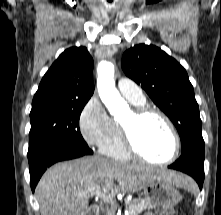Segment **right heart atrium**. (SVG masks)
<instances>
[{"instance_id": "d8ad5b80", "label": "right heart atrium", "mask_w": 221, "mask_h": 215, "mask_svg": "<svg viewBox=\"0 0 221 215\" xmlns=\"http://www.w3.org/2000/svg\"><path fill=\"white\" fill-rule=\"evenodd\" d=\"M79 130L85 142L100 146L110 135L112 119L98 98L91 97L79 117Z\"/></svg>"}]
</instances>
